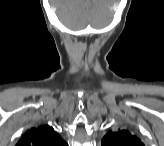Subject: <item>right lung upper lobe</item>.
Here are the masks:
<instances>
[{"mask_svg": "<svg viewBox=\"0 0 164 146\" xmlns=\"http://www.w3.org/2000/svg\"><path fill=\"white\" fill-rule=\"evenodd\" d=\"M66 143L48 125L34 127L27 131L17 146H65Z\"/></svg>", "mask_w": 164, "mask_h": 146, "instance_id": "1", "label": "right lung upper lobe"}]
</instances>
